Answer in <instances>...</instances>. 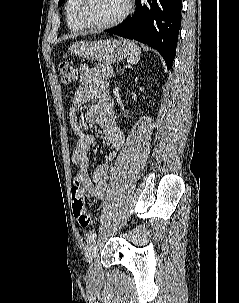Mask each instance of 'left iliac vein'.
<instances>
[{
	"label": "left iliac vein",
	"instance_id": "4c4485c4",
	"mask_svg": "<svg viewBox=\"0 0 239 303\" xmlns=\"http://www.w3.org/2000/svg\"><path fill=\"white\" fill-rule=\"evenodd\" d=\"M97 250H98V246H97L96 242H93L89 245L87 252L85 254V258H86L87 262L90 263L93 261V259L96 256Z\"/></svg>",
	"mask_w": 239,
	"mask_h": 303
}]
</instances>
